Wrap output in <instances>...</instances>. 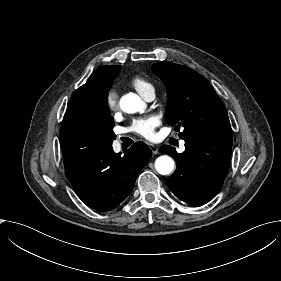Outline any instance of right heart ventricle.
<instances>
[{"label":"right heart ventricle","instance_id":"e07e8e85","mask_svg":"<svg viewBox=\"0 0 281 281\" xmlns=\"http://www.w3.org/2000/svg\"><path fill=\"white\" fill-rule=\"evenodd\" d=\"M128 85L135 89L138 94L145 99L148 91H153V87L143 78L134 77L129 82Z\"/></svg>","mask_w":281,"mask_h":281}]
</instances>
